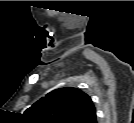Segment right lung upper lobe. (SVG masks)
<instances>
[{
    "label": "right lung upper lobe",
    "mask_w": 134,
    "mask_h": 123,
    "mask_svg": "<svg viewBox=\"0 0 134 123\" xmlns=\"http://www.w3.org/2000/svg\"><path fill=\"white\" fill-rule=\"evenodd\" d=\"M33 123H97L94 104L80 89L53 90L24 112Z\"/></svg>",
    "instance_id": "right-lung-upper-lobe-1"
}]
</instances>
